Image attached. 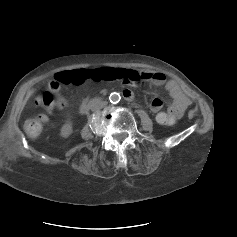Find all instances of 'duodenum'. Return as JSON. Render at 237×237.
I'll return each instance as SVG.
<instances>
[{"label":"duodenum","instance_id":"duodenum-1","mask_svg":"<svg viewBox=\"0 0 237 237\" xmlns=\"http://www.w3.org/2000/svg\"><path fill=\"white\" fill-rule=\"evenodd\" d=\"M123 95L126 97V98H129L130 97V92L128 90H123ZM98 99H91V100H86L84 101L80 108H79V112L80 113H85L88 111V109L90 108V106L95 103Z\"/></svg>","mask_w":237,"mask_h":237}]
</instances>
